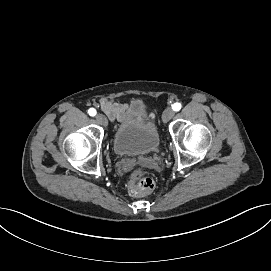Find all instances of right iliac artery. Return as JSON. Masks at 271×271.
<instances>
[{"label":"right iliac artery","mask_w":271,"mask_h":271,"mask_svg":"<svg viewBox=\"0 0 271 271\" xmlns=\"http://www.w3.org/2000/svg\"><path fill=\"white\" fill-rule=\"evenodd\" d=\"M88 113H89L90 116H95L96 115V110L94 108H90L88 110Z\"/></svg>","instance_id":"82829eb1"}]
</instances>
